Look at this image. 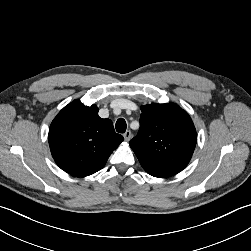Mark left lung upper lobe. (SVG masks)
<instances>
[{
  "instance_id": "1",
  "label": "left lung upper lobe",
  "mask_w": 251,
  "mask_h": 251,
  "mask_svg": "<svg viewBox=\"0 0 251 251\" xmlns=\"http://www.w3.org/2000/svg\"><path fill=\"white\" fill-rule=\"evenodd\" d=\"M140 129L129 142L140 164L150 175L163 178L182 171L194 152V124L176 104L141 107Z\"/></svg>"
}]
</instances>
